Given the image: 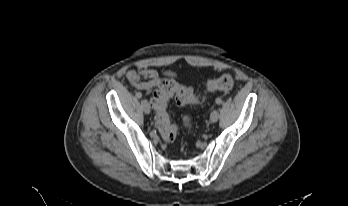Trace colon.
Segmentation results:
<instances>
[{
  "label": "colon",
  "instance_id": "obj_1",
  "mask_svg": "<svg viewBox=\"0 0 348 206\" xmlns=\"http://www.w3.org/2000/svg\"><path fill=\"white\" fill-rule=\"evenodd\" d=\"M234 81L231 75L223 74L218 78L212 79L207 84L208 91H229L233 88ZM175 96L176 102L180 106L196 104L199 100L193 89L188 86L178 84L171 79L162 80L159 86L153 91L151 105L155 111V124L167 142L176 139L178 127L171 123L167 104L171 97ZM189 123V118L184 117V124Z\"/></svg>",
  "mask_w": 348,
  "mask_h": 206
}]
</instances>
